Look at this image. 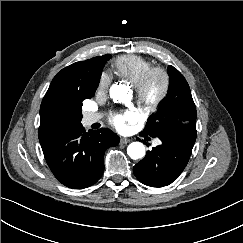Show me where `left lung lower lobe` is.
Returning <instances> with one entry per match:
<instances>
[{"instance_id": "left-lung-lower-lobe-1", "label": "left lung lower lobe", "mask_w": 243, "mask_h": 243, "mask_svg": "<svg viewBox=\"0 0 243 243\" xmlns=\"http://www.w3.org/2000/svg\"><path fill=\"white\" fill-rule=\"evenodd\" d=\"M159 139L162 144L148 151L133 167L136 178L151 187H163L177 179L186 167L193 148L173 138Z\"/></svg>"}]
</instances>
